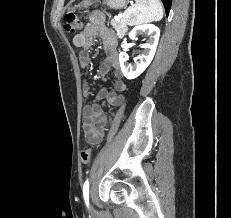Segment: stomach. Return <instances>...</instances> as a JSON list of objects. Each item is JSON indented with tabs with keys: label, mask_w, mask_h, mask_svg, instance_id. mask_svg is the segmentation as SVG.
<instances>
[{
	"label": "stomach",
	"mask_w": 231,
	"mask_h": 218,
	"mask_svg": "<svg viewBox=\"0 0 231 218\" xmlns=\"http://www.w3.org/2000/svg\"><path fill=\"white\" fill-rule=\"evenodd\" d=\"M127 0H103V4L107 5L111 9H122L125 7ZM91 0H83L80 6L87 7L91 4Z\"/></svg>",
	"instance_id": "1"
}]
</instances>
